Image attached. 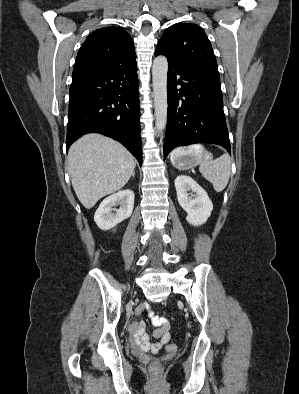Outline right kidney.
<instances>
[{
	"instance_id": "ca27d5eb",
	"label": "right kidney",
	"mask_w": 299,
	"mask_h": 394,
	"mask_svg": "<svg viewBox=\"0 0 299 394\" xmlns=\"http://www.w3.org/2000/svg\"><path fill=\"white\" fill-rule=\"evenodd\" d=\"M119 204L121 207L115 210L113 206ZM134 208V192L125 189L105 198L94 215V221L102 230L113 229L117 224L129 218ZM116 211V213H112Z\"/></svg>"
}]
</instances>
